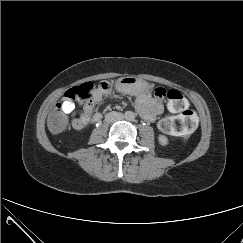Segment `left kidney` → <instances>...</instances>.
I'll return each instance as SVG.
<instances>
[{
    "label": "left kidney",
    "instance_id": "obj_1",
    "mask_svg": "<svg viewBox=\"0 0 243 243\" xmlns=\"http://www.w3.org/2000/svg\"><path fill=\"white\" fill-rule=\"evenodd\" d=\"M158 141L162 146H166L168 144V138L165 135H159Z\"/></svg>",
    "mask_w": 243,
    "mask_h": 243
}]
</instances>
